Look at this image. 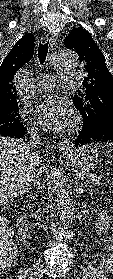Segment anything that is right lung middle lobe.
Here are the masks:
<instances>
[{
    "instance_id": "obj_1",
    "label": "right lung middle lobe",
    "mask_w": 113,
    "mask_h": 279,
    "mask_svg": "<svg viewBox=\"0 0 113 279\" xmlns=\"http://www.w3.org/2000/svg\"><path fill=\"white\" fill-rule=\"evenodd\" d=\"M19 127H23V123L21 122L18 103L0 108V133Z\"/></svg>"
}]
</instances>
